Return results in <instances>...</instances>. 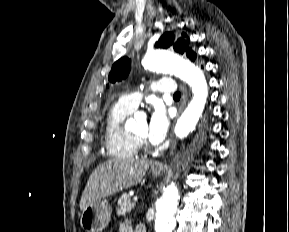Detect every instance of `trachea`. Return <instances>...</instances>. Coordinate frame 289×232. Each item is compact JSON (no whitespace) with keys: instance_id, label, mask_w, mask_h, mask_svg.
I'll use <instances>...</instances> for the list:
<instances>
[{"instance_id":"3493384b","label":"trachea","mask_w":289,"mask_h":232,"mask_svg":"<svg viewBox=\"0 0 289 232\" xmlns=\"http://www.w3.org/2000/svg\"><path fill=\"white\" fill-rule=\"evenodd\" d=\"M180 96H181L180 92H176V93L173 95L174 98H180Z\"/></svg>"}]
</instances>
